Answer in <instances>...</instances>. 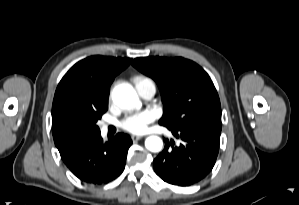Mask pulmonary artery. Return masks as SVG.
Masks as SVG:
<instances>
[{"label":"pulmonary artery","mask_w":299,"mask_h":205,"mask_svg":"<svg viewBox=\"0 0 299 205\" xmlns=\"http://www.w3.org/2000/svg\"><path fill=\"white\" fill-rule=\"evenodd\" d=\"M137 91L144 99H150L156 92V86L150 79H144L136 85Z\"/></svg>","instance_id":"1"}]
</instances>
